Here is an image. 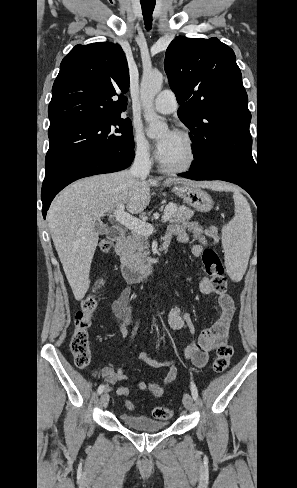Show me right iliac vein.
Returning a JSON list of instances; mask_svg holds the SVG:
<instances>
[{"label":"right iliac vein","instance_id":"obj_1","mask_svg":"<svg viewBox=\"0 0 297 488\" xmlns=\"http://www.w3.org/2000/svg\"><path fill=\"white\" fill-rule=\"evenodd\" d=\"M109 394L107 392L103 393L100 398V406L106 407L109 403Z\"/></svg>","mask_w":297,"mask_h":488}]
</instances>
